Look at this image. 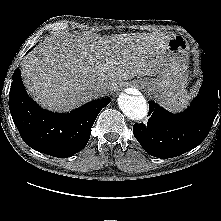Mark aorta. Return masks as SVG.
<instances>
[{
  "label": "aorta",
  "mask_w": 221,
  "mask_h": 221,
  "mask_svg": "<svg viewBox=\"0 0 221 221\" xmlns=\"http://www.w3.org/2000/svg\"><path fill=\"white\" fill-rule=\"evenodd\" d=\"M118 105L122 112L132 120H142L147 116L148 108L143 96H132L121 93Z\"/></svg>",
  "instance_id": "aorta-1"
}]
</instances>
